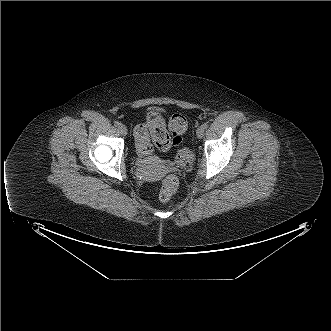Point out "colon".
Instances as JSON below:
<instances>
[{
    "label": "colon",
    "mask_w": 331,
    "mask_h": 331,
    "mask_svg": "<svg viewBox=\"0 0 331 331\" xmlns=\"http://www.w3.org/2000/svg\"><path fill=\"white\" fill-rule=\"evenodd\" d=\"M146 122L150 129L155 146L162 151L168 150L171 145L179 146L183 142L184 134L188 128L187 118L182 114H174L169 120V131L166 129L162 117L156 112H150L146 116ZM140 138V146L145 148L149 143L147 128L140 125L135 130ZM176 160L181 165H188L192 161V155L189 150L183 148L177 155ZM177 188V180L174 176H167L159 192V199L167 202L173 196Z\"/></svg>",
    "instance_id": "1"
}]
</instances>
